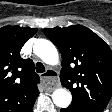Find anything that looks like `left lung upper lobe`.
<instances>
[{
	"instance_id": "obj_1",
	"label": "left lung upper lobe",
	"mask_w": 112,
	"mask_h": 112,
	"mask_svg": "<svg viewBox=\"0 0 112 112\" xmlns=\"http://www.w3.org/2000/svg\"><path fill=\"white\" fill-rule=\"evenodd\" d=\"M62 55L61 84L72 93L71 105L105 109L112 96V51L82 25L43 29Z\"/></svg>"
}]
</instances>
